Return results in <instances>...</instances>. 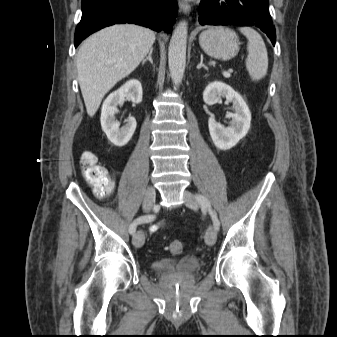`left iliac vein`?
<instances>
[{
  "instance_id": "4c4485c4",
  "label": "left iliac vein",
  "mask_w": 337,
  "mask_h": 337,
  "mask_svg": "<svg viewBox=\"0 0 337 337\" xmlns=\"http://www.w3.org/2000/svg\"><path fill=\"white\" fill-rule=\"evenodd\" d=\"M185 205L191 209H198L199 203L197 197L190 191H184ZM217 239V232L213 226H210L205 234V242L208 246H213Z\"/></svg>"
}]
</instances>
